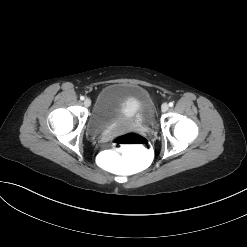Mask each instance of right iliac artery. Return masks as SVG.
Returning a JSON list of instances; mask_svg holds the SVG:
<instances>
[{"label":"right iliac artery","mask_w":247,"mask_h":247,"mask_svg":"<svg viewBox=\"0 0 247 247\" xmlns=\"http://www.w3.org/2000/svg\"><path fill=\"white\" fill-rule=\"evenodd\" d=\"M80 99H81V100H84V96H80Z\"/></svg>","instance_id":"right-iliac-artery-1"}]
</instances>
